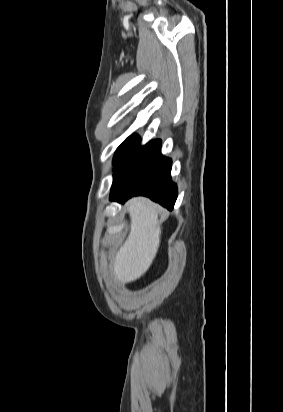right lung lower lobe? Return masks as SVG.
<instances>
[{"mask_svg":"<svg viewBox=\"0 0 283 412\" xmlns=\"http://www.w3.org/2000/svg\"><path fill=\"white\" fill-rule=\"evenodd\" d=\"M160 150L161 140H152L131 152L115 169L110 200L123 203L143 195L172 210L177 186L171 181L172 161Z\"/></svg>","mask_w":283,"mask_h":412,"instance_id":"obj_1","label":"right lung lower lobe"}]
</instances>
